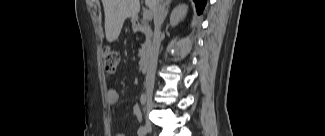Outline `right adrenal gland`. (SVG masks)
<instances>
[{"instance_id":"1","label":"right adrenal gland","mask_w":325,"mask_h":136,"mask_svg":"<svg viewBox=\"0 0 325 136\" xmlns=\"http://www.w3.org/2000/svg\"><path fill=\"white\" fill-rule=\"evenodd\" d=\"M171 2H172V0H164V3H163V21L167 17L168 8H169V5H170Z\"/></svg>"}]
</instances>
